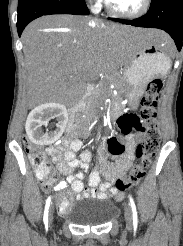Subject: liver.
<instances>
[{
  "mask_svg": "<svg viewBox=\"0 0 183 246\" xmlns=\"http://www.w3.org/2000/svg\"><path fill=\"white\" fill-rule=\"evenodd\" d=\"M135 40L172 45L162 31L105 24L100 19L48 15L34 20L22 34L30 102L79 99L85 89L83 79L123 66Z\"/></svg>",
  "mask_w": 183,
  "mask_h": 246,
  "instance_id": "1",
  "label": "liver"
}]
</instances>
